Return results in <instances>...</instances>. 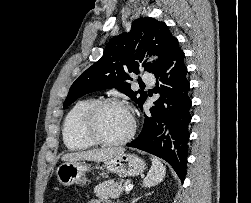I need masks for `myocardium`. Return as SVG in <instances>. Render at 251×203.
I'll list each match as a JSON object with an SVG mask.
<instances>
[{
    "instance_id": "obj_1",
    "label": "myocardium",
    "mask_w": 251,
    "mask_h": 203,
    "mask_svg": "<svg viewBox=\"0 0 251 203\" xmlns=\"http://www.w3.org/2000/svg\"><path fill=\"white\" fill-rule=\"evenodd\" d=\"M110 105L121 106L128 109L125 105L118 99L114 98H104L94 101L84 112L81 122V128L83 134L90 139L95 144L103 145V146H118L127 143L135 134L136 131V122L134 117L130 114L131 117V127L128 133L122 138L116 140H110L104 138L97 129V119L100 111Z\"/></svg>"
}]
</instances>
